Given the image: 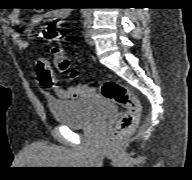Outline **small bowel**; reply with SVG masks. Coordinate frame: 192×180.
I'll return each mask as SVG.
<instances>
[{
  "instance_id": "c3829d8e",
  "label": "small bowel",
  "mask_w": 192,
  "mask_h": 180,
  "mask_svg": "<svg viewBox=\"0 0 192 180\" xmlns=\"http://www.w3.org/2000/svg\"><path fill=\"white\" fill-rule=\"evenodd\" d=\"M69 14V11L64 8L53 9L37 17V22L39 21H53L57 22L59 20L65 19ZM10 21L14 25H20L22 23L21 13L19 10H14L10 14ZM13 40L19 46H26L27 42L24 40L23 35L19 32H12ZM37 74L39 81L42 86L48 89H52L55 95L60 99H75L79 96H83L90 92V90L83 84H77L74 87L62 88L56 83L55 76L48 62L45 60H40L37 63Z\"/></svg>"
}]
</instances>
